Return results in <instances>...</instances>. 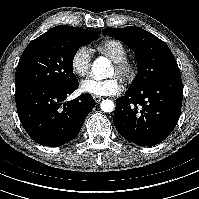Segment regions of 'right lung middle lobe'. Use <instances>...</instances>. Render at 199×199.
Wrapping results in <instances>:
<instances>
[{"label":"right lung middle lobe","instance_id":"right-lung-middle-lobe-1","mask_svg":"<svg viewBox=\"0 0 199 199\" xmlns=\"http://www.w3.org/2000/svg\"><path fill=\"white\" fill-rule=\"evenodd\" d=\"M100 32L75 29L49 30L33 40L19 60L15 86L46 85L66 87L78 82L73 73V59L79 47L94 41Z\"/></svg>","mask_w":199,"mask_h":199}]
</instances>
